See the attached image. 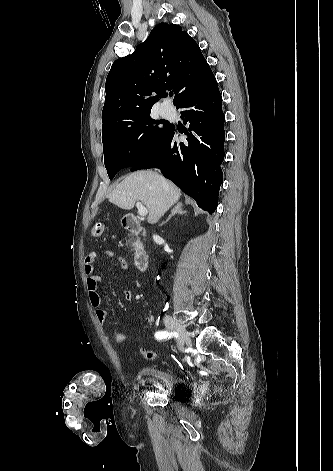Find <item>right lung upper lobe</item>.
Masks as SVG:
<instances>
[{
  "label": "right lung upper lobe",
  "instance_id": "1",
  "mask_svg": "<svg viewBox=\"0 0 333 471\" xmlns=\"http://www.w3.org/2000/svg\"><path fill=\"white\" fill-rule=\"evenodd\" d=\"M209 73L210 66L188 33L178 25L160 23L132 54L113 63L105 84L102 132L151 110L166 90L174 91L177 106Z\"/></svg>",
  "mask_w": 333,
  "mask_h": 471
}]
</instances>
